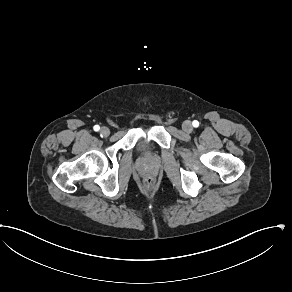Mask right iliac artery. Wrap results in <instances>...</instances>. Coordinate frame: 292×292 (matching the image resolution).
<instances>
[{
  "label": "right iliac artery",
  "mask_w": 292,
  "mask_h": 292,
  "mask_svg": "<svg viewBox=\"0 0 292 292\" xmlns=\"http://www.w3.org/2000/svg\"><path fill=\"white\" fill-rule=\"evenodd\" d=\"M93 129H94L95 131H99L100 127H99V125H95V126L93 127Z\"/></svg>",
  "instance_id": "1"
}]
</instances>
